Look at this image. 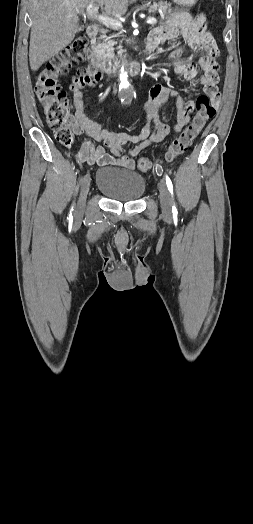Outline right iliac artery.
Segmentation results:
<instances>
[{
  "label": "right iliac artery",
  "mask_w": 253,
  "mask_h": 524,
  "mask_svg": "<svg viewBox=\"0 0 253 524\" xmlns=\"http://www.w3.org/2000/svg\"><path fill=\"white\" fill-rule=\"evenodd\" d=\"M85 178H86V175H82V176H81V179H80V186L83 185ZM72 211H73V207H72V209H71V212H72ZM70 215H72V214L70 213Z\"/></svg>",
  "instance_id": "right-iliac-artery-1"
}]
</instances>
